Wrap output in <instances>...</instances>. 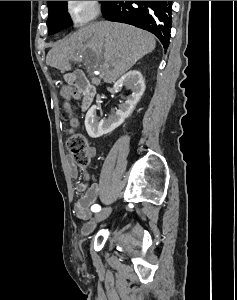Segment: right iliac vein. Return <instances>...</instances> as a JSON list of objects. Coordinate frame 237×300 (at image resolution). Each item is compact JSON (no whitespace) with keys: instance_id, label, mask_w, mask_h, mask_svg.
<instances>
[{"instance_id":"63e3f726","label":"right iliac vein","mask_w":237,"mask_h":300,"mask_svg":"<svg viewBox=\"0 0 237 300\" xmlns=\"http://www.w3.org/2000/svg\"><path fill=\"white\" fill-rule=\"evenodd\" d=\"M112 208L107 207L103 211L95 214L96 221H103L111 214Z\"/></svg>"}]
</instances>
